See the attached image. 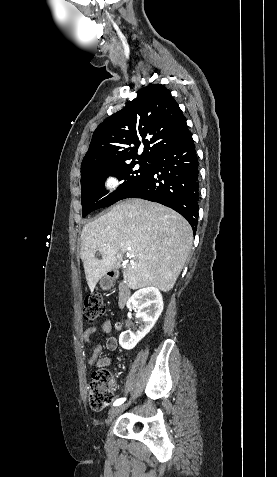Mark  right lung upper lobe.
I'll list each match as a JSON object with an SVG mask.
<instances>
[{
  "instance_id": "cb5924a9",
  "label": "right lung upper lobe",
  "mask_w": 277,
  "mask_h": 477,
  "mask_svg": "<svg viewBox=\"0 0 277 477\" xmlns=\"http://www.w3.org/2000/svg\"><path fill=\"white\" fill-rule=\"evenodd\" d=\"M188 132L186 119L171 92L161 84H150L97 127L81 163V171L135 159L150 160L179 142ZM141 142L144 151L138 155Z\"/></svg>"
}]
</instances>
